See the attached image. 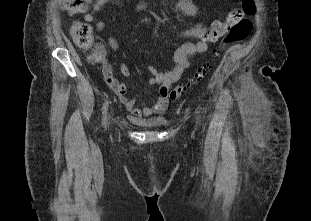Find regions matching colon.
Wrapping results in <instances>:
<instances>
[{
    "mask_svg": "<svg viewBox=\"0 0 311 221\" xmlns=\"http://www.w3.org/2000/svg\"><path fill=\"white\" fill-rule=\"evenodd\" d=\"M81 4H91V0H66L58 1V8H64V12H72L74 17H82L84 14V6ZM244 12L248 13L247 17H256L257 12L255 10L254 0H243ZM241 13L238 10L232 11L228 14L224 21L214 22L204 35L205 41H214L213 37L215 34L219 35V38H223L225 44H235L241 42L250 33L251 23L249 20L244 21L237 26L233 27L232 33L229 36H224V31L228 28V24L232 23L235 18H240ZM70 35L75 42L76 46L81 50H91L94 47V37L92 26L87 22H74L70 28ZM220 40V39H219ZM93 57L97 61H103L105 58V50L101 47L94 50ZM209 64L206 63L202 66L186 84H181L173 88L169 94L171 100H175L179 96L183 95L186 91L192 88L195 84L202 81L209 71Z\"/></svg>",
    "mask_w": 311,
    "mask_h": 221,
    "instance_id": "obj_1",
    "label": "colon"
}]
</instances>
